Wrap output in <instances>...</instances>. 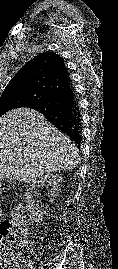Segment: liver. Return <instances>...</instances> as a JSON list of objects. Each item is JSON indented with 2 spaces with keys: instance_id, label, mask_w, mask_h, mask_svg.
<instances>
[{
  "instance_id": "liver-1",
  "label": "liver",
  "mask_w": 118,
  "mask_h": 269,
  "mask_svg": "<svg viewBox=\"0 0 118 269\" xmlns=\"http://www.w3.org/2000/svg\"><path fill=\"white\" fill-rule=\"evenodd\" d=\"M78 149L42 114L18 108L0 117V177L29 183L50 172L70 170Z\"/></svg>"
}]
</instances>
